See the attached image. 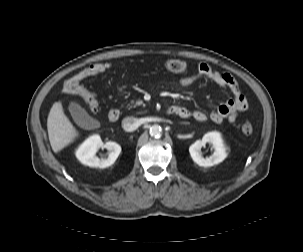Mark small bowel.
Masks as SVG:
<instances>
[{
  "instance_id": "obj_1",
  "label": "small bowel",
  "mask_w": 303,
  "mask_h": 252,
  "mask_svg": "<svg viewBox=\"0 0 303 252\" xmlns=\"http://www.w3.org/2000/svg\"><path fill=\"white\" fill-rule=\"evenodd\" d=\"M204 78L226 88L231 95L230 100L221 104L216 110L209 114L201 110L190 111L186 107L177 106L181 112L180 116H192L196 121L200 122L208 118L216 123L225 120L231 123L234 122L237 116L245 109L246 98L242 94L236 81L230 75L214 71L207 64L201 63L197 65L194 74L184 76L180 79V85L182 87H188Z\"/></svg>"
}]
</instances>
